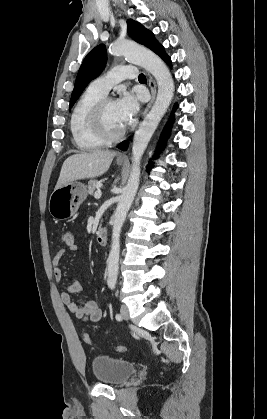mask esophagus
<instances>
[{"label":"esophagus","instance_id":"1","mask_svg":"<svg viewBox=\"0 0 267 419\" xmlns=\"http://www.w3.org/2000/svg\"><path fill=\"white\" fill-rule=\"evenodd\" d=\"M148 80H149V82H151L152 81V77H151V75L150 74H148ZM155 96H156V89H155V87H152L151 88V99H150V101H149V103H148V105H147V107H146V109H145V112H144V115L148 112V110L151 108V106H152V104H153V102H154V100H155ZM118 159H127V155L125 154V153H120L119 155H118Z\"/></svg>","mask_w":267,"mask_h":419}]
</instances>
